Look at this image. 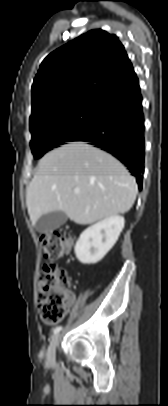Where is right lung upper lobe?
Here are the masks:
<instances>
[{
	"instance_id": "1",
	"label": "right lung upper lobe",
	"mask_w": 168,
	"mask_h": 406,
	"mask_svg": "<svg viewBox=\"0 0 168 406\" xmlns=\"http://www.w3.org/2000/svg\"><path fill=\"white\" fill-rule=\"evenodd\" d=\"M137 80L118 37L91 30L41 63L32 85L30 123L80 101L104 99Z\"/></svg>"
}]
</instances>
